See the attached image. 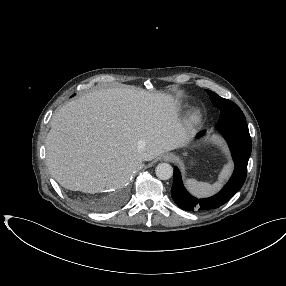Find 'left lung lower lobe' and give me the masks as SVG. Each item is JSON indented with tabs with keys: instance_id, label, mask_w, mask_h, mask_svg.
Listing matches in <instances>:
<instances>
[{
	"instance_id": "obj_1",
	"label": "left lung lower lobe",
	"mask_w": 286,
	"mask_h": 286,
	"mask_svg": "<svg viewBox=\"0 0 286 286\" xmlns=\"http://www.w3.org/2000/svg\"><path fill=\"white\" fill-rule=\"evenodd\" d=\"M217 128L230 147L235 163L233 175L218 194L206 199H197L187 192L182 184L180 172L175 167L171 196L174 202L183 210L216 209L234 196L245 182L247 164L251 155V137L246 119L234 117L221 118L218 120ZM204 133L205 131H201L197 137Z\"/></svg>"
}]
</instances>
